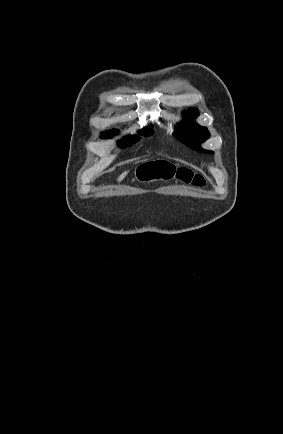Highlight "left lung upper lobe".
Listing matches in <instances>:
<instances>
[{"label":"left lung upper lobe","instance_id":"obj_1","mask_svg":"<svg viewBox=\"0 0 283 434\" xmlns=\"http://www.w3.org/2000/svg\"><path fill=\"white\" fill-rule=\"evenodd\" d=\"M198 115V111L195 109H188L184 113V117L193 119ZM174 136L182 141L187 146L204 153H213L209 150H203L199 148V143L207 140L210 136L206 127L200 126L193 121H188L178 125Z\"/></svg>","mask_w":283,"mask_h":434}]
</instances>
